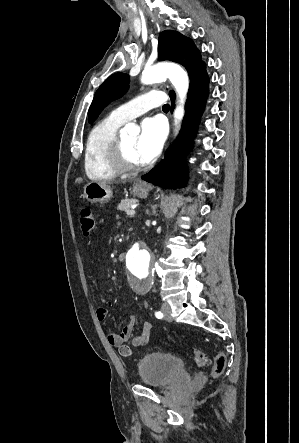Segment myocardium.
Returning a JSON list of instances; mask_svg holds the SVG:
<instances>
[{
    "mask_svg": "<svg viewBox=\"0 0 299 443\" xmlns=\"http://www.w3.org/2000/svg\"><path fill=\"white\" fill-rule=\"evenodd\" d=\"M108 159L111 167L120 174H134L145 167V164L135 165L128 161L120 138L110 148Z\"/></svg>",
    "mask_w": 299,
    "mask_h": 443,
    "instance_id": "1",
    "label": "myocardium"
}]
</instances>
